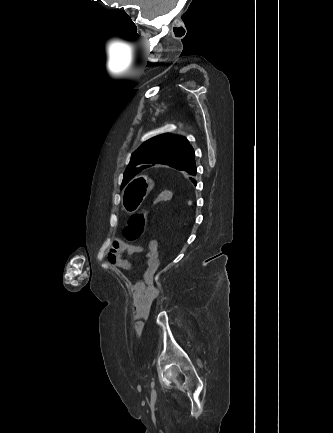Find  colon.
Returning a JSON list of instances; mask_svg holds the SVG:
<instances>
[{"label": "colon", "mask_w": 333, "mask_h": 433, "mask_svg": "<svg viewBox=\"0 0 333 433\" xmlns=\"http://www.w3.org/2000/svg\"><path fill=\"white\" fill-rule=\"evenodd\" d=\"M172 198V193L168 191L161 192L153 201L152 206L168 201ZM150 213L149 210H144L139 213L131 215L125 226L123 227V237L126 241L134 242L141 238L144 233L146 222Z\"/></svg>", "instance_id": "obj_1"}]
</instances>
